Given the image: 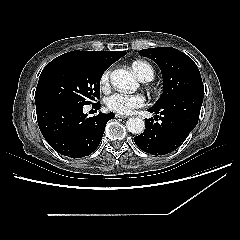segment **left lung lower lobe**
<instances>
[{"label":"left lung lower lobe","instance_id":"1","mask_svg":"<svg viewBox=\"0 0 240 240\" xmlns=\"http://www.w3.org/2000/svg\"><path fill=\"white\" fill-rule=\"evenodd\" d=\"M203 96L204 90H194L161 107L149 108L148 111L161 115V122L145 119V131L134 137L136 145L152 155H165L177 149L198 123Z\"/></svg>","mask_w":240,"mask_h":240}]
</instances>
